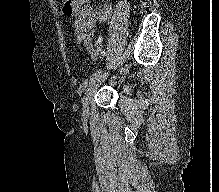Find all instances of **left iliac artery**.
I'll use <instances>...</instances> for the list:
<instances>
[{
	"label": "left iliac artery",
	"instance_id": "1",
	"mask_svg": "<svg viewBox=\"0 0 219 192\" xmlns=\"http://www.w3.org/2000/svg\"><path fill=\"white\" fill-rule=\"evenodd\" d=\"M102 73H103V70H98V71L94 72V73L90 76L89 82L94 81V79H95L96 77H98L99 75H101ZM87 85H88V81L86 80V81H84V83H83V87L86 88Z\"/></svg>",
	"mask_w": 219,
	"mask_h": 192
}]
</instances>
